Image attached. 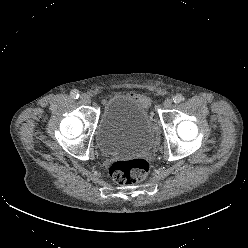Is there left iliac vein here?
I'll use <instances>...</instances> for the list:
<instances>
[{"instance_id": "obj_1", "label": "left iliac vein", "mask_w": 248, "mask_h": 248, "mask_svg": "<svg viewBox=\"0 0 248 248\" xmlns=\"http://www.w3.org/2000/svg\"><path fill=\"white\" fill-rule=\"evenodd\" d=\"M172 104H173L172 99L167 98V99L164 101V103H163V107H164L165 109H169V108L172 107Z\"/></svg>"}]
</instances>
